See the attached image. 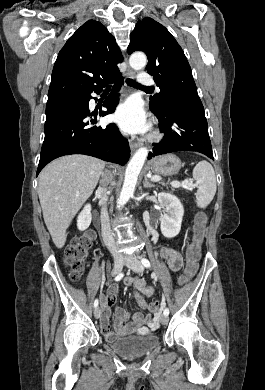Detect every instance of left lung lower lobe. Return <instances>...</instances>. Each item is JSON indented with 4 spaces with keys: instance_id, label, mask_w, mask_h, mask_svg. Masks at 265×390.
<instances>
[{
    "instance_id": "1",
    "label": "left lung lower lobe",
    "mask_w": 265,
    "mask_h": 390,
    "mask_svg": "<svg viewBox=\"0 0 265 390\" xmlns=\"http://www.w3.org/2000/svg\"><path fill=\"white\" fill-rule=\"evenodd\" d=\"M150 110L159 120V128L165 136L155 143L148 159L177 151H195L213 158L208 124L204 107L198 94L169 97L166 107Z\"/></svg>"
}]
</instances>
